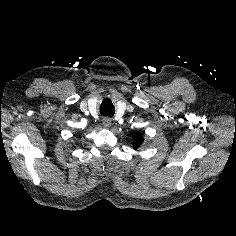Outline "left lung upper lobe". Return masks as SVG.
<instances>
[{
    "label": "left lung upper lobe",
    "mask_w": 236,
    "mask_h": 236,
    "mask_svg": "<svg viewBox=\"0 0 236 236\" xmlns=\"http://www.w3.org/2000/svg\"><path fill=\"white\" fill-rule=\"evenodd\" d=\"M133 137H134V140H135V143L133 144L134 148L140 147L142 145V143H143L142 136L140 134H138V133H134Z\"/></svg>",
    "instance_id": "5c2ea615"
}]
</instances>
